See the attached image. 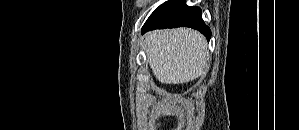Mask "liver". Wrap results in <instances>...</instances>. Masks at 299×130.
<instances>
[{"label":"liver","instance_id":"liver-1","mask_svg":"<svg viewBox=\"0 0 299 130\" xmlns=\"http://www.w3.org/2000/svg\"><path fill=\"white\" fill-rule=\"evenodd\" d=\"M144 43L152 72L161 83H187L208 68L207 42L198 31L157 30L146 34Z\"/></svg>","mask_w":299,"mask_h":130}]
</instances>
